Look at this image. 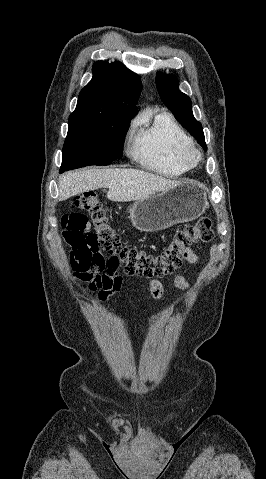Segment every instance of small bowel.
<instances>
[{
	"label": "small bowel",
	"instance_id": "small-bowel-1",
	"mask_svg": "<svg viewBox=\"0 0 266 479\" xmlns=\"http://www.w3.org/2000/svg\"><path fill=\"white\" fill-rule=\"evenodd\" d=\"M184 259L190 264H196L199 261V256L189 249L185 252ZM174 285L180 290H186L189 288L188 281L181 274L174 277ZM149 291L154 299L159 300L163 295L162 283L157 279L150 280Z\"/></svg>",
	"mask_w": 266,
	"mask_h": 479
}]
</instances>
